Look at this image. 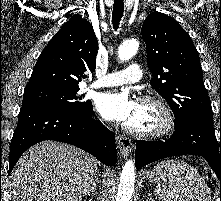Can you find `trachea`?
I'll return each instance as SVG.
<instances>
[{
    "label": "trachea",
    "mask_w": 221,
    "mask_h": 201,
    "mask_svg": "<svg viewBox=\"0 0 221 201\" xmlns=\"http://www.w3.org/2000/svg\"><path fill=\"white\" fill-rule=\"evenodd\" d=\"M123 12H124L123 0H114L113 12H112V24L115 30L119 28V24L122 19Z\"/></svg>",
    "instance_id": "trachea-1"
}]
</instances>
